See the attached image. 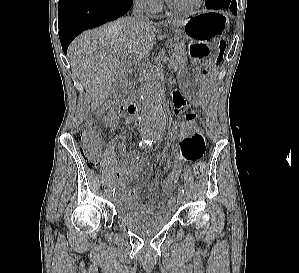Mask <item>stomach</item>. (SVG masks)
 Masks as SVG:
<instances>
[{
  "label": "stomach",
  "mask_w": 299,
  "mask_h": 273,
  "mask_svg": "<svg viewBox=\"0 0 299 273\" xmlns=\"http://www.w3.org/2000/svg\"><path fill=\"white\" fill-rule=\"evenodd\" d=\"M229 27L227 15L221 11H202L186 20L175 32L187 43L191 70L181 69L178 73L183 89L187 93L186 100L202 102L210 91L213 74H220V69L213 61V48Z\"/></svg>",
  "instance_id": "0dacf381"
}]
</instances>
